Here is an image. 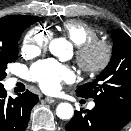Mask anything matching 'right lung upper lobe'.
<instances>
[{
  "instance_id": "right-lung-upper-lobe-1",
  "label": "right lung upper lobe",
  "mask_w": 131,
  "mask_h": 131,
  "mask_svg": "<svg viewBox=\"0 0 131 131\" xmlns=\"http://www.w3.org/2000/svg\"><path fill=\"white\" fill-rule=\"evenodd\" d=\"M19 15L5 16L0 19V39L8 36L9 26Z\"/></svg>"
}]
</instances>
